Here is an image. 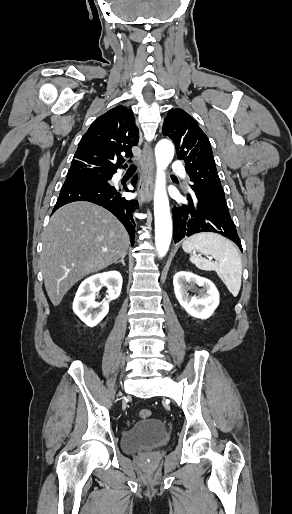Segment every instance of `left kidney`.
I'll return each instance as SVG.
<instances>
[{
  "mask_svg": "<svg viewBox=\"0 0 292 514\" xmlns=\"http://www.w3.org/2000/svg\"><path fill=\"white\" fill-rule=\"evenodd\" d=\"M188 284L203 286L199 296H189L188 292L193 290V286ZM173 286L180 306L194 318L207 320L219 306V292L207 278H200L191 272H177L173 278Z\"/></svg>",
  "mask_w": 292,
  "mask_h": 514,
  "instance_id": "obj_1",
  "label": "left kidney"
}]
</instances>
